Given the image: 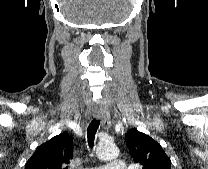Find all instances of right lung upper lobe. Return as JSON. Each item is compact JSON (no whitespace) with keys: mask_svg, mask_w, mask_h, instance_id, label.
Returning a JSON list of instances; mask_svg holds the SVG:
<instances>
[{"mask_svg":"<svg viewBox=\"0 0 208 169\" xmlns=\"http://www.w3.org/2000/svg\"><path fill=\"white\" fill-rule=\"evenodd\" d=\"M73 159V139L61 133L37 147L25 169H68Z\"/></svg>","mask_w":208,"mask_h":169,"instance_id":"obj_1","label":"right lung upper lobe"}]
</instances>
